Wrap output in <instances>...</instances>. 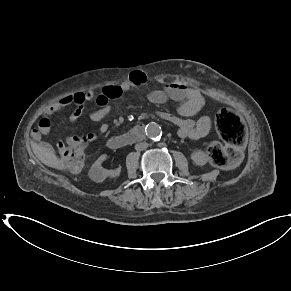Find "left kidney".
I'll return each instance as SVG.
<instances>
[{
    "instance_id": "left-kidney-1",
    "label": "left kidney",
    "mask_w": 291,
    "mask_h": 291,
    "mask_svg": "<svg viewBox=\"0 0 291 291\" xmlns=\"http://www.w3.org/2000/svg\"><path fill=\"white\" fill-rule=\"evenodd\" d=\"M191 159L198 166H203L208 162V156L200 150L194 151L191 154Z\"/></svg>"
}]
</instances>
